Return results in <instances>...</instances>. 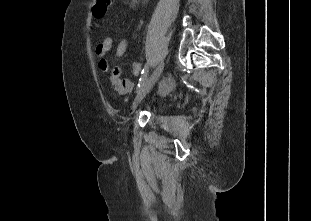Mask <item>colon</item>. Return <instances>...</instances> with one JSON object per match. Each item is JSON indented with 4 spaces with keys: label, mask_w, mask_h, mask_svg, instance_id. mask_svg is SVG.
Masks as SVG:
<instances>
[{
    "label": "colon",
    "mask_w": 311,
    "mask_h": 221,
    "mask_svg": "<svg viewBox=\"0 0 311 221\" xmlns=\"http://www.w3.org/2000/svg\"><path fill=\"white\" fill-rule=\"evenodd\" d=\"M107 4H115V0H96L92 1V16L93 17H108L110 6ZM115 77H112L114 80Z\"/></svg>",
    "instance_id": "1"
}]
</instances>
